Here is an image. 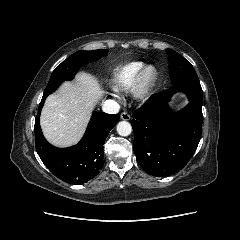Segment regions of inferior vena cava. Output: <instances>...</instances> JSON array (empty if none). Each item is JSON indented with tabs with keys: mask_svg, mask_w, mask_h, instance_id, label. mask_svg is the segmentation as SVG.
<instances>
[{
	"mask_svg": "<svg viewBox=\"0 0 240 240\" xmlns=\"http://www.w3.org/2000/svg\"><path fill=\"white\" fill-rule=\"evenodd\" d=\"M102 110L108 114H116L119 112L120 106L114 100H107L103 103Z\"/></svg>",
	"mask_w": 240,
	"mask_h": 240,
	"instance_id": "obj_1",
	"label": "inferior vena cava"
}]
</instances>
